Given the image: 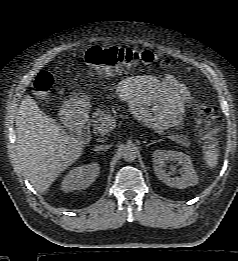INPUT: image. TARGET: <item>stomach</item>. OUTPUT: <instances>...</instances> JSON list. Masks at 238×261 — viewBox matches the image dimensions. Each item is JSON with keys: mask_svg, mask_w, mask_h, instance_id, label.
<instances>
[{"mask_svg": "<svg viewBox=\"0 0 238 261\" xmlns=\"http://www.w3.org/2000/svg\"><path fill=\"white\" fill-rule=\"evenodd\" d=\"M90 108L89 98L86 95L72 96L65 104V110L73 116H80Z\"/></svg>", "mask_w": 238, "mask_h": 261, "instance_id": "1", "label": "stomach"}]
</instances>
